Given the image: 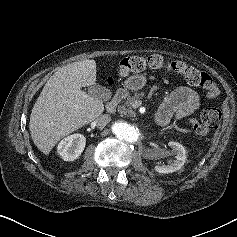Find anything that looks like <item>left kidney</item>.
Masks as SVG:
<instances>
[{"mask_svg": "<svg viewBox=\"0 0 237 237\" xmlns=\"http://www.w3.org/2000/svg\"><path fill=\"white\" fill-rule=\"evenodd\" d=\"M172 148V152L176 155L175 160L169 161L168 165L155 166V170L159 173H172L182 168L186 161V149L185 147L174 141L168 143Z\"/></svg>", "mask_w": 237, "mask_h": 237, "instance_id": "obj_1", "label": "left kidney"}]
</instances>
